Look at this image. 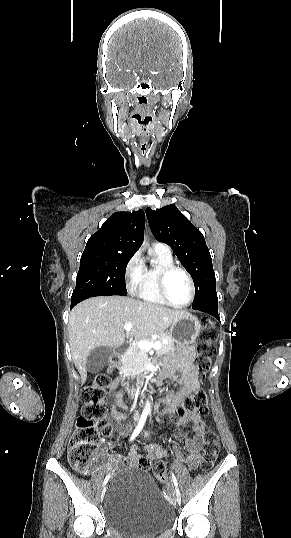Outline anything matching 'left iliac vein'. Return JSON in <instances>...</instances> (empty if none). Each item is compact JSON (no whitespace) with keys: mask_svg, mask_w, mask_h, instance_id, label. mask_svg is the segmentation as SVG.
<instances>
[{"mask_svg":"<svg viewBox=\"0 0 291 538\" xmlns=\"http://www.w3.org/2000/svg\"><path fill=\"white\" fill-rule=\"evenodd\" d=\"M176 500L177 502H180L181 501V493L178 489H176Z\"/></svg>","mask_w":291,"mask_h":538,"instance_id":"4c4485c4","label":"left iliac vein"}]
</instances>
